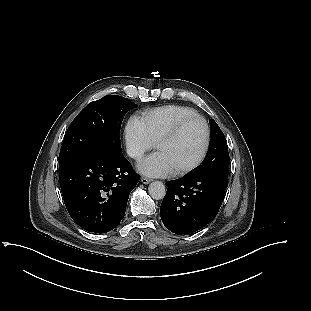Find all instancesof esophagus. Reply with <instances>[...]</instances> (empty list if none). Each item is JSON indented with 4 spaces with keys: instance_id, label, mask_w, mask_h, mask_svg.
Masks as SVG:
<instances>
[{
    "instance_id": "obj_1",
    "label": "esophagus",
    "mask_w": 311,
    "mask_h": 311,
    "mask_svg": "<svg viewBox=\"0 0 311 311\" xmlns=\"http://www.w3.org/2000/svg\"><path fill=\"white\" fill-rule=\"evenodd\" d=\"M141 182H142L143 184H148V183L151 182V179H148V178H146V177H142V178H141Z\"/></svg>"
}]
</instances>
